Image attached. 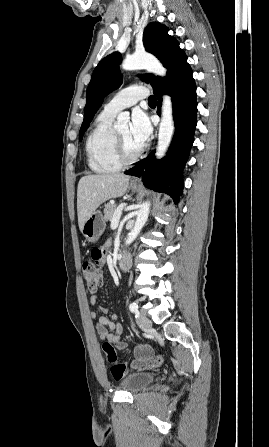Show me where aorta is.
Here are the masks:
<instances>
[{"instance_id": "aorta-1", "label": "aorta", "mask_w": 269, "mask_h": 447, "mask_svg": "<svg viewBox=\"0 0 269 447\" xmlns=\"http://www.w3.org/2000/svg\"><path fill=\"white\" fill-rule=\"evenodd\" d=\"M121 68L122 70H129V72L130 70H148V72H153L156 76H166L167 72L166 68H163L159 60H157L155 56H152V54H147V52H143V54H132V56H126L125 60H123L121 64ZM128 122H130L128 114H126V112H121V114L117 116L113 128H115V130H128ZM174 130L171 98L170 96H163L161 122L159 126L158 142L155 154L158 160L165 156L172 140ZM149 212L150 202H145V204L141 206L140 210H138L134 227H132L131 231H129L126 237V245H129V243H132V241L136 239L143 225H145L148 220Z\"/></svg>"}]
</instances>
